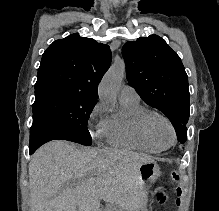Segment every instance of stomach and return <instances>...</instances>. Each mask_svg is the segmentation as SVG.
Instances as JSON below:
<instances>
[{"mask_svg":"<svg viewBox=\"0 0 219 211\" xmlns=\"http://www.w3.org/2000/svg\"><path fill=\"white\" fill-rule=\"evenodd\" d=\"M140 180L143 185H150L154 183L160 175V167L154 162H148L143 164L139 170ZM141 211H148L146 208H143Z\"/></svg>","mask_w":219,"mask_h":211,"instance_id":"stomach-1","label":"stomach"}]
</instances>
